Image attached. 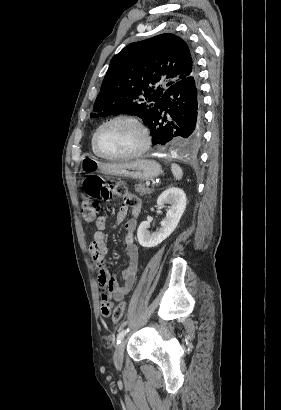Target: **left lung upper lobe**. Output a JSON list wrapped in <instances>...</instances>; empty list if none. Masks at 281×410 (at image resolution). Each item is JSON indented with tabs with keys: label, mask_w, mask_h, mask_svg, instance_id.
Here are the masks:
<instances>
[{
	"label": "left lung upper lobe",
	"mask_w": 281,
	"mask_h": 410,
	"mask_svg": "<svg viewBox=\"0 0 281 410\" xmlns=\"http://www.w3.org/2000/svg\"><path fill=\"white\" fill-rule=\"evenodd\" d=\"M195 72L192 52L174 34L131 43L112 58L90 117L129 113L145 122L164 91Z\"/></svg>",
	"instance_id": "left-lung-upper-lobe-1"
}]
</instances>
